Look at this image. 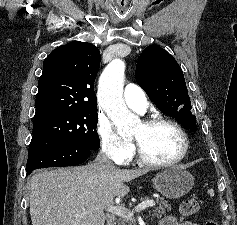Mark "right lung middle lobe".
Instances as JSON below:
<instances>
[{"instance_id":"dd1d6c3e","label":"right lung middle lobe","mask_w":237,"mask_h":225,"mask_svg":"<svg viewBox=\"0 0 237 225\" xmlns=\"http://www.w3.org/2000/svg\"><path fill=\"white\" fill-rule=\"evenodd\" d=\"M97 110L79 111L34 121V135L59 138L79 146L98 150Z\"/></svg>"}]
</instances>
